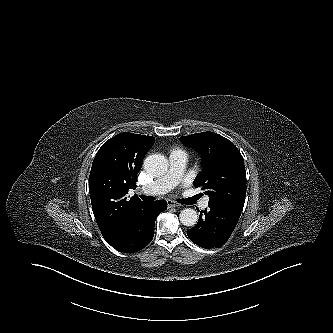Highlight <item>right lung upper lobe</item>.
<instances>
[{
  "mask_svg": "<svg viewBox=\"0 0 333 333\" xmlns=\"http://www.w3.org/2000/svg\"><path fill=\"white\" fill-rule=\"evenodd\" d=\"M154 137L120 133L98 150L89 176L92 209L104 239L110 243L120 233L127 217L144 205L138 197L126 198L135 189L143 158Z\"/></svg>",
  "mask_w": 333,
  "mask_h": 333,
  "instance_id": "right-lung-upper-lobe-1",
  "label": "right lung upper lobe"
}]
</instances>
